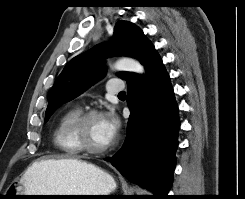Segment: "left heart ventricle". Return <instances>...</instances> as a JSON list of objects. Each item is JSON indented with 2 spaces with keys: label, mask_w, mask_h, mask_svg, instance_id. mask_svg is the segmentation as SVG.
I'll return each instance as SVG.
<instances>
[{
  "label": "left heart ventricle",
  "mask_w": 245,
  "mask_h": 199,
  "mask_svg": "<svg viewBox=\"0 0 245 199\" xmlns=\"http://www.w3.org/2000/svg\"><path fill=\"white\" fill-rule=\"evenodd\" d=\"M83 137L90 146L95 148L105 147L110 144L111 141L107 138L105 132L103 116H95L87 122Z\"/></svg>",
  "instance_id": "b2bd125f"
}]
</instances>
